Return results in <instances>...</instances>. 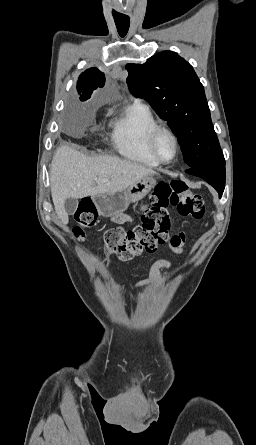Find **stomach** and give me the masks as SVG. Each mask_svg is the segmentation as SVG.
<instances>
[{
	"instance_id": "stomach-1",
	"label": "stomach",
	"mask_w": 256,
	"mask_h": 445,
	"mask_svg": "<svg viewBox=\"0 0 256 445\" xmlns=\"http://www.w3.org/2000/svg\"><path fill=\"white\" fill-rule=\"evenodd\" d=\"M156 185L154 175L142 178L127 189L113 194H99L93 197L99 214L113 217L123 213L128 206L144 198Z\"/></svg>"
}]
</instances>
